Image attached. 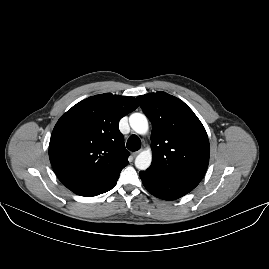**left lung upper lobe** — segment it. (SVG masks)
Here are the masks:
<instances>
[{
    "label": "left lung upper lobe",
    "mask_w": 269,
    "mask_h": 269,
    "mask_svg": "<svg viewBox=\"0 0 269 269\" xmlns=\"http://www.w3.org/2000/svg\"><path fill=\"white\" fill-rule=\"evenodd\" d=\"M137 100L152 123L150 172L199 183L209 163L207 133L180 99L159 91Z\"/></svg>",
    "instance_id": "obj_1"
}]
</instances>
